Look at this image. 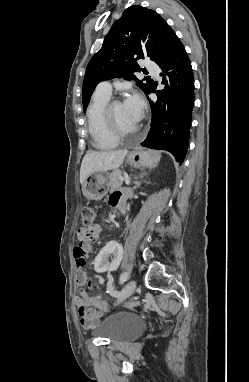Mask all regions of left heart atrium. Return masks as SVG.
Returning a JSON list of instances; mask_svg holds the SVG:
<instances>
[{"mask_svg":"<svg viewBox=\"0 0 249 382\" xmlns=\"http://www.w3.org/2000/svg\"><path fill=\"white\" fill-rule=\"evenodd\" d=\"M123 105L125 109L131 114V116L139 122L144 111V101L142 97L138 93L132 92L125 99Z\"/></svg>","mask_w":249,"mask_h":382,"instance_id":"obj_1","label":"left heart atrium"}]
</instances>
